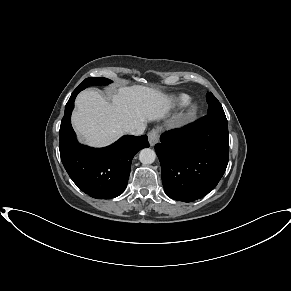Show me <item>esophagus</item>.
Masks as SVG:
<instances>
[{
  "mask_svg": "<svg viewBox=\"0 0 291 291\" xmlns=\"http://www.w3.org/2000/svg\"><path fill=\"white\" fill-rule=\"evenodd\" d=\"M160 132L157 129H153L148 134V140L151 146H154L159 141Z\"/></svg>",
  "mask_w": 291,
  "mask_h": 291,
  "instance_id": "1",
  "label": "esophagus"
}]
</instances>
